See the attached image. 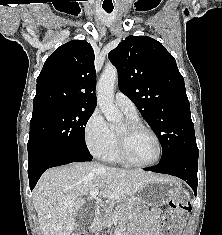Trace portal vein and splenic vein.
Wrapping results in <instances>:
<instances>
[{
    "label": "portal vein and splenic vein",
    "instance_id": "1",
    "mask_svg": "<svg viewBox=\"0 0 222 235\" xmlns=\"http://www.w3.org/2000/svg\"><path fill=\"white\" fill-rule=\"evenodd\" d=\"M98 194H99V189H94L90 191V196L93 198H96Z\"/></svg>",
    "mask_w": 222,
    "mask_h": 235
}]
</instances>
